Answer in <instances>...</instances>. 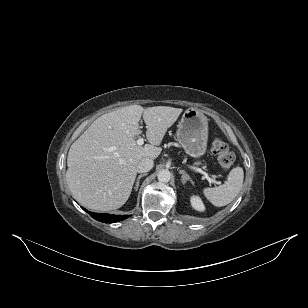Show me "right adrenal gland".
<instances>
[{
    "label": "right adrenal gland",
    "instance_id": "right-adrenal-gland-1",
    "mask_svg": "<svg viewBox=\"0 0 308 308\" xmlns=\"http://www.w3.org/2000/svg\"><path fill=\"white\" fill-rule=\"evenodd\" d=\"M146 175H147V174L145 173V174H141V175L138 176V178H137V180H136V184H135V190H136V191H137L138 188H139V181H140V179H141L142 177L146 176Z\"/></svg>",
    "mask_w": 308,
    "mask_h": 308
}]
</instances>
